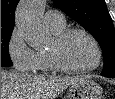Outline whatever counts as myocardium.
<instances>
[{"mask_svg": "<svg viewBox=\"0 0 115 99\" xmlns=\"http://www.w3.org/2000/svg\"><path fill=\"white\" fill-rule=\"evenodd\" d=\"M75 33L84 35L86 38L89 39V41L92 43L94 47L96 57L94 63L91 66L82 68L72 67L64 64L59 58L58 55L59 47L70 35ZM46 52L51 67L54 70L66 73H75V74L89 73L96 70L100 66L102 61V50L97 39L90 32L79 27L65 28L63 31L55 35L53 38L52 46L49 47Z\"/></svg>", "mask_w": 115, "mask_h": 99, "instance_id": "myocardium-1", "label": "myocardium"}]
</instances>
